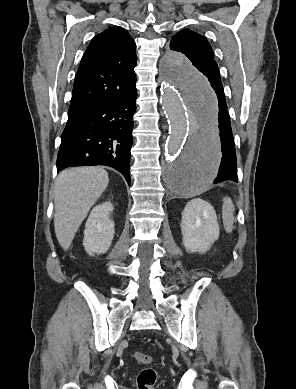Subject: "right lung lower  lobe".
I'll return each mask as SVG.
<instances>
[{"label": "right lung lower lobe", "instance_id": "98d812e1", "mask_svg": "<svg viewBox=\"0 0 296 389\" xmlns=\"http://www.w3.org/2000/svg\"><path fill=\"white\" fill-rule=\"evenodd\" d=\"M135 82L136 79L119 98L68 117L61 135L57 171L73 166L106 165L118 170L130 185Z\"/></svg>", "mask_w": 296, "mask_h": 389}]
</instances>
